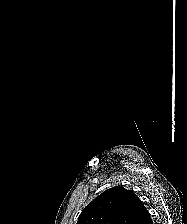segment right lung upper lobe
I'll list each match as a JSON object with an SVG mask.
<instances>
[{
	"instance_id": "cb5924a9",
	"label": "right lung upper lobe",
	"mask_w": 187,
	"mask_h": 224,
	"mask_svg": "<svg viewBox=\"0 0 187 224\" xmlns=\"http://www.w3.org/2000/svg\"><path fill=\"white\" fill-rule=\"evenodd\" d=\"M77 224H152V220L133 191L113 187L82 210Z\"/></svg>"
}]
</instances>
